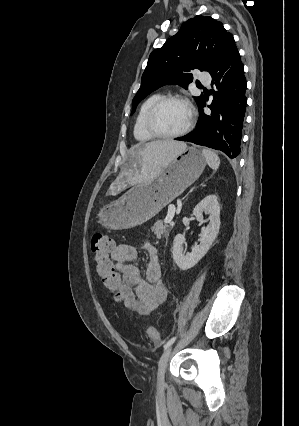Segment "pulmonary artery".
<instances>
[{"mask_svg": "<svg viewBox=\"0 0 299 426\" xmlns=\"http://www.w3.org/2000/svg\"><path fill=\"white\" fill-rule=\"evenodd\" d=\"M200 80H201L203 83H205V84H209V83H210L211 78H210V76H208V75L204 74V75H202V76L200 77Z\"/></svg>", "mask_w": 299, "mask_h": 426, "instance_id": "e3ab8cb5", "label": "pulmonary artery"}]
</instances>
